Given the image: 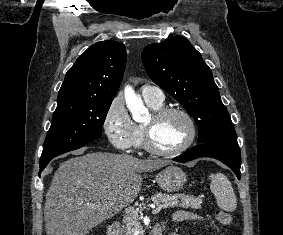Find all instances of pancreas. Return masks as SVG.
I'll list each match as a JSON object with an SVG mask.
<instances>
[{
  "mask_svg": "<svg viewBox=\"0 0 283 235\" xmlns=\"http://www.w3.org/2000/svg\"><path fill=\"white\" fill-rule=\"evenodd\" d=\"M151 200L163 208L168 207H183L199 209L201 208L202 200L194 198L185 194L168 195L163 193H156L151 197ZM142 230L139 222V215H127L123 220L122 234L121 235H140Z\"/></svg>",
  "mask_w": 283,
  "mask_h": 235,
  "instance_id": "1",
  "label": "pancreas"
}]
</instances>
